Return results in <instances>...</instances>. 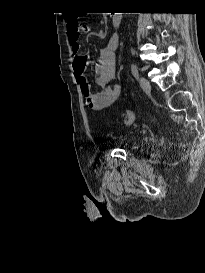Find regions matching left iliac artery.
Listing matches in <instances>:
<instances>
[{
	"label": "left iliac artery",
	"mask_w": 205,
	"mask_h": 273,
	"mask_svg": "<svg viewBox=\"0 0 205 273\" xmlns=\"http://www.w3.org/2000/svg\"><path fill=\"white\" fill-rule=\"evenodd\" d=\"M131 71H132L133 76L135 78H138L139 73H138V68H137L136 64H134V63L131 64Z\"/></svg>",
	"instance_id": "44dca946"
}]
</instances>
